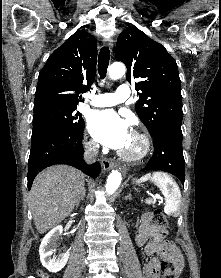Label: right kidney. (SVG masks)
I'll return each mask as SVG.
<instances>
[{
    "instance_id": "obj_1",
    "label": "right kidney",
    "mask_w": 221,
    "mask_h": 278,
    "mask_svg": "<svg viewBox=\"0 0 221 278\" xmlns=\"http://www.w3.org/2000/svg\"><path fill=\"white\" fill-rule=\"evenodd\" d=\"M62 233V226L55 227L43 238L39 247L41 263L52 273L59 272L66 265L70 255L69 251H64L55 256L57 241Z\"/></svg>"
}]
</instances>
